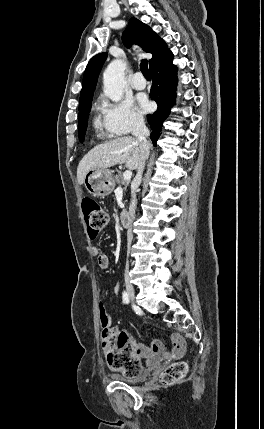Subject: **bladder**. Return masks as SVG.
<instances>
[{
	"mask_svg": "<svg viewBox=\"0 0 264 429\" xmlns=\"http://www.w3.org/2000/svg\"><path fill=\"white\" fill-rule=\"evenodd\" d=\"M150 375V370H145L135 376L113 375V379L124 383H138L145 380Z\"/></svg>",
	"mask_w": 264,
	"mask_h": 429,
	"instance_id": "31cf9c89",
	"label": "bladder"
}]
</instances>
